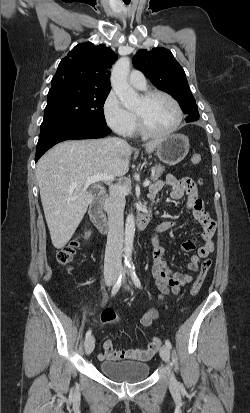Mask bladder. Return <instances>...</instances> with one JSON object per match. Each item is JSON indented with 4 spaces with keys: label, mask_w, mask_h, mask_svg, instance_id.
<instances>
[{
    "label": "bladder",
    "mask_w": 250,
    "mask_h": 413,
    "mask_svg": "<svg viewBox=\"0 0 250 413\" xmlns=\"http://www.w3.org/2000/svg\"><path fill=\"white\" fill-rule=\"evenodd\" d=\"M100 371L116 382L134 383L144 380L150 372L149 364L137 361H103Z\"/></svg>",
    "instance_id": "bladder-1"
}]
</instances>
